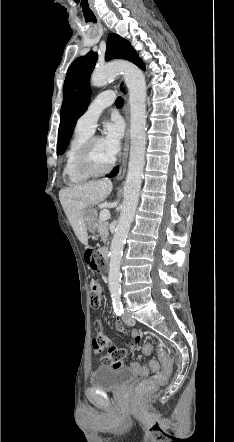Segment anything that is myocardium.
I'll use <instances>...</instances> for the list:
<instances>
[{"label": "myocardium", "instance_id": "obj_1", "mask_svg": "<svg viewBox=\"0 0 234 442\" xmlns=\"http://www.w3.org/2000/svg\"><path fill=\"white\" fill-rule=\"evenodd\" d=\"M98 137H89L84 144L82 145V147L80 148L78 155H77V166L78 169L88 175V176H101L104 174H107L108 172H110L113 167L115 166V158H113L111 160V162L109 163V165L105 168L102 169H98L94 166L93 161H92V147H93V143L98 140Z\"/></svg>", "mask_w": 234, "mask_h": 442}]
</instances>
